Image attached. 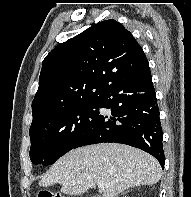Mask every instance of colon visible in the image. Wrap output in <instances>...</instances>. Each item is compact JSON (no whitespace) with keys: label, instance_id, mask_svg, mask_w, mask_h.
Masks as SVG:
<instances>
[{"label":"colon","instance_id":"5ec220e1","mask_svg":"<svg viewBox=\"0 0 191 197\" xmlns=\"http://www.w3.org/2000/svg\"><path fill=\"white\" fill-rule=\"evenodd\" d=\"M38 197H64L59 193L43 190L39 193Z\"/></svg>","mask_w":191,"mask_h":197}]
</instances>
